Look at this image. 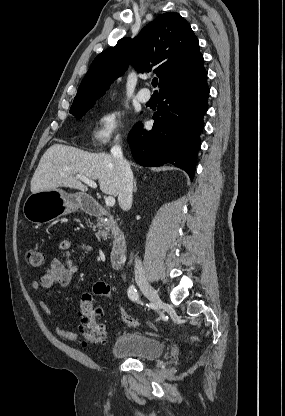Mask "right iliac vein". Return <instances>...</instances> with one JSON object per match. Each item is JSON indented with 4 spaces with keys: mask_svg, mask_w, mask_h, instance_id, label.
Here are the masks:
<instances>
[{
    "mask_svg": "<svg viewBox=\"0 0 285 416\" xmlns=\"http://www.w3.org/2000/svg\"><path fill=\"white\" fill-rule=\"evenodd\" d=\"M136 282L143 294L154 305L155 310H159L162 307L163 301L159 297L158 292L150 285L148 281L143 278H136Z\"/></svg>",
    "mask_w": 285,
    "mask_h": 416,
    "instance_id": "right-iliac-vein-1",
    "label": "right iliac vein"
}]
</instances>
